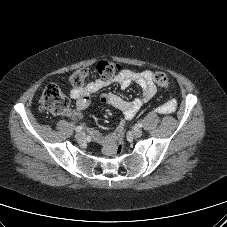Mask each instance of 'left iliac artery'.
I'll return each mask as SVG.
<instances>
[{
	"mask_svg": "<svg viewBox=\"0 0 227 227\" xmlns=\"http://www.w3.org/2000/svg\"><path fill=\"white\" fill-rule=\"evenodd\" d=\"M138 128H142V123H138L137 125H136Z\"/></svg>",
	"mask_w": 227,
	"mask_h": 227,
	"instance_id": "obj_1",
	"label": "left iliac artery"
}]
</instances>
